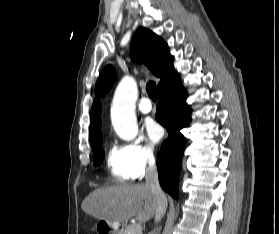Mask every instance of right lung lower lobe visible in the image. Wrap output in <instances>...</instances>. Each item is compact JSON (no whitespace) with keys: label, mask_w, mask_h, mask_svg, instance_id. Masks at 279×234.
<instances>
[{"label":"right lung lower lobe","mask_w":279,"mask_h":234,"mask_svg":"<svg viewBox=\"0 0 279 234\" xmlns=\"http://www.w3.org/2000/svg\"><path fill=\"white\" fill-rule=\"evenodd\" d=\"M187 96L178 73L158 89L156 119L168 132V139L161 145L157 161L159 182L175 199L179 194L178 178L185 145L180 130L191 121V109L185 102Z\"/></svg>","instance_id":"1"}]
</instances>
